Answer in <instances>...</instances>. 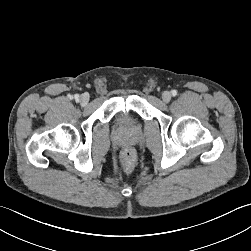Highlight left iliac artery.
I'll return each instance as SVG.
<instances>
[{
    "instance_id": "left-iliac-artery-1",
    "label": "left iliac artery",
    "mask_w": 251,
    "mask_h": 251,
    "mask_svg": "<svg viewBox=\"0 0 251 251\" xmlns=\"http://www.w3.org/2000/svg\"><path fill=\"white\" fill-rule=\"evenodd\" d=\"M171 93H172L173 96L177 95V91L176 90H172Z\"/></svg>"
}]
</instances>
